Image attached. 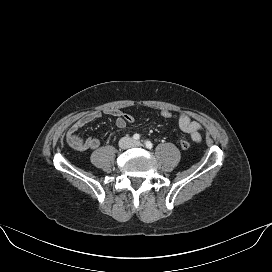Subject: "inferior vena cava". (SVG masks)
I'll return each instance as SVG.
<instances>
[{"instance_id":"1","label":"inferior vena cava","mask_w":272,"mask_h":272,"mask_svg":"<svg viewBox=\"0 0 272 272\" xmlns=\"http://www.w3.org/2000/svg\"><path fill=\"white\" fill-rule=\"evenodd\" d=\"M133 140L130 137H123L119 140V146L122 149H127L132 146Z\"/></svg>"}]
</instances>
